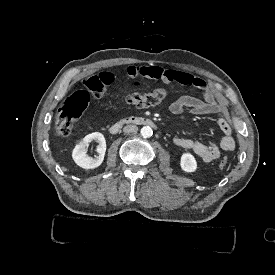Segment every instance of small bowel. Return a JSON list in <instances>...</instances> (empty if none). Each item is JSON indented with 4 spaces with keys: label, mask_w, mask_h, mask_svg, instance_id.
<instances>
[{
    "label": "small bowel",
    "mask_w": 275,
    "mask_h": 275,
    "mask_svg": "<svg viewBox=\"0 0 275 275\" xmlns=\"http://www.w3.org/2000/svg\"><path fill=\"white\" fill-rule=\"evenodd\" d=\"M129 73L134 79L146 78L160 80L165 83L192 85L201 90L202 99L193 96H181L174 100L169 106L170 112L174 115H180L184 111H189L192 115L197 116L225 114L224 104L216 99L211 87L199 77H193L184 71L162 69L157 66L131 67ZM99 79L105 86H112L115 83V76L109 70L101 72ZM218 125L224 134L218 142L203 143L189 138L176 137L174 143L181 148L191 150L202 161L212 162L221 156L222 151L233 150L236 145L231 123L221 117L218 119Z\"/></svg>",
    "instance_id": "small-bowel-1"
}]
</instances>
